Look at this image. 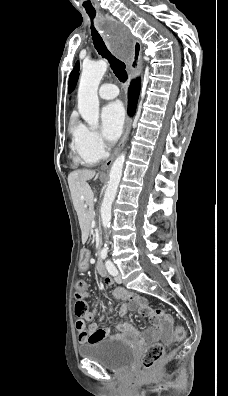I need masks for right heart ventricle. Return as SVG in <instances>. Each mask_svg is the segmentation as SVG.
<instances>
[{"label":"right heart ventricle","mask_w":228,"mask_h":396,"mask_svg":"<svg viewBox=\"0 0 228 396\" xmlns=\"http://www.w3.org/2000/svg\"><path fill=\"white\" fill-rule=\"evenodd\" d=\"M76 128L74 129V141L72 143V149L75 153L76 160L83 165H94L98 162V159L93 157L92 155L86 153L81 146L79 145L76 137H75Z\"/></svg>","instance_id":"1"}]
</instances>
